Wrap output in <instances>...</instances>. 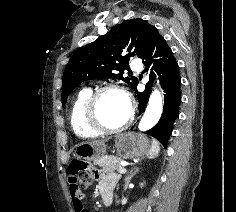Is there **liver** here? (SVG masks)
<instances>
[{
    "label": "liver",
    "instance_id": "6515ba94",
    "mask_svg": "<svg viewBox=\"0 0 236 212\" xmlns=\"http://www.w3.org/2000/svg\"><path fill=\"white\" fill-rule=\"evenodd\" d=\"M91 145L94 146H101V145H105V140H95V141H91V142H87Z\"/></svg>",
    "mask_w": 236,
    "mask_h": 212
}]
</instances>
